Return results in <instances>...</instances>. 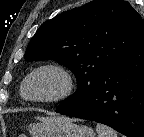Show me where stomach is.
Here are the masks:
<instances>
[{"label": "stomach", "instance_id": "1", "mask_svg": "<svg viewBox=\"0 0 144 137\" xmlns=\"http://www.w3.org/2000/svg\"><path fill=\"white\" fill-rule=\"evenodd\" d=\"M32 137H95L92 128L77 125L72 119L64 116L51 117L28 127Z\"/></svg>", "mask_w": 144, "mask_h": 137}]
</instances>
